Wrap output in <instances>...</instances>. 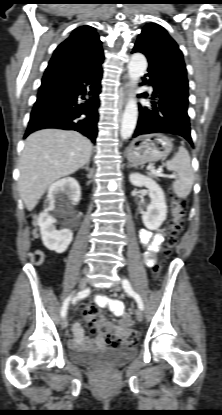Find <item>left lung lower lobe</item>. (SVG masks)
I'll list each match as a JSON object with an SVG mask.
<instances>
[{
	"instance_id": "1",
	"label": "left lung lower lobe",
	"mask_w": 222,
	"mask_h": 415,
	"mask_svg": "<svg viewBox=\"0 0 222 415\" xmlns=\"http://www.w3.org/2000/svg\"><path fill=\"white\" fill-rule=\"evenodd\" d=\"M132 52L145 54L137 46ZM147 59L149 67L146 76L153 88L151 99L154 101L150 107H139V118L132 137L155 132L170 133L185 138L193 145L187 114L189 94L184 62L168 58ZM139 96L147 97L148 94Z\"/></svg>"
}]
</instances>
